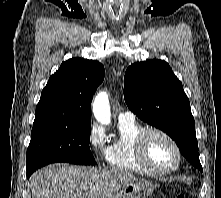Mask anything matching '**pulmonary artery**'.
<instances>
[{
  "mask_svg": "<svg viewBox=\"0 0 221 198\" xmlns=\"http://www.w3.org/2000/svg\"><path fill=\"white\" fill-rule=\"evenodd\" d=\"M135 119V115L130 111L120 112L118 115L119 121H131Z\"/></svg>",
  "mask_w": 221,
  "mask_h": 198,
  "instance_id": "1",
  "label": "pulmonary artery"
}]
</instances>
